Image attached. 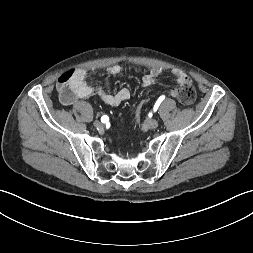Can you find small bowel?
<instances>
[{"mask_svg": "<svg viewBox=\"0 0 253 253\" xmlns=\"http://www.w3.org/2000/svg\"><path fill=\"white\" fill-rule=\"evenodd\" d=\"M110 75H119L122 72V67L120 65H112L107 69ZM162 68L153 67L149 73L145 74L141 78V85L143 87H148L154 84L158 77L162 74ZM175 77L177 85L181 88L185 85H191V80L181 70L175 69L172 71ZM87 72L84 69H75L72 71V77L69 82V93L67 96H62L61 101L64 105H73L79 99L89 98L93 95L98 96L105 104L115 107L119 106L123 102L127 101L130 96V90L127 88H122L117 92L110 94L107 93L101 86L92 87L86 82ZM172 97H177L178 89L174 88L170 91Z\"/></svg>", "mask_w": 253, "mask_h": 253, "instance_id": "c3829d8e", "label": "small bowel"}]
</instances>
